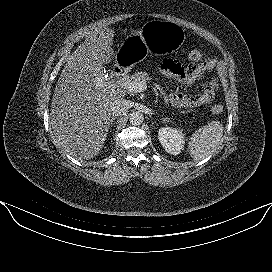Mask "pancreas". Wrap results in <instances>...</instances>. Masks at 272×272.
Here are the masks:
<instances>
[{
  "label": "pancreas",
  "mask_w": 272,
  "mask_h": 272,
  "mask_svg": "<svg viewBox=\"0 0 272 272\" xmlns=\"http://www.w3.org/2000/svg\"><path fill=\"white\" fill-rule=\"evenodd\" d=\"M131 81H136V82H140V81H144L146 82L149 79V75L146 72H136L135 74H133L130 77Z\"/></svg>",
  "instance_id": "1"
}]
</instances>
